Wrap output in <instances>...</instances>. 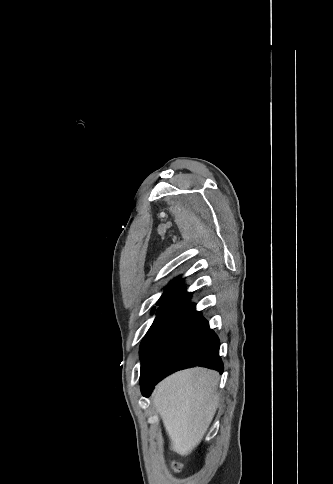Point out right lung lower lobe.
I'll return each instance as SVG.
<instances>
[{
	"instance_id": "98d812e1",
	"label": "right lung lower lobe",
	"mask_w": 333,
	"mask_h": 484,
	"mask_svg": "<svg viewBox=\"0 0 333 484\" xmlns=\"http://www.w3.org/2000/svg\"><path fill=\"white\" fill-rule=\"evenodd\" d=\"M191 293L178 292L161 305L149 329L141 360L140 384L148 396L172 372L195 365L223 372L219 339L195 305Z\"/></svg>"
}]
</instances>
